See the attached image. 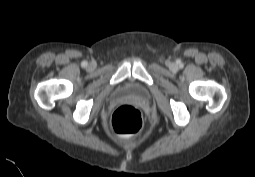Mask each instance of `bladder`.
I'll list each match as a JSON object with an SVG mask.
<instances>
[{
	"mask_svg": "<svg viewBox=\"0 0 255 177\" xmlns=\"http://www.w3.org/2000/svg\"><path fill=\"white\" fill-rule=\"evenodd\" d=\"M118 96H129L138 100H145L148 97V90L143 84L137 81H128L120 86Z\"/></svg>",
	"mask_w": 255,
	"mask_h": 177,
	"instance_id": "obj_1",
	"label": "bladder"
}]
</instances>
